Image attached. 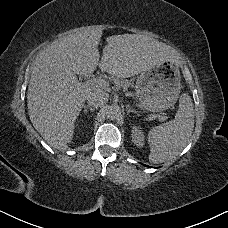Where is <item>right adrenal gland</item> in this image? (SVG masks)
Wrapping results in <instances>:
<instances>
[{
  "label": "right adrenal gland",
  "mask_w": 228,
  "mask_h": 228,
  "mask_svg": "<svg viewBox=\"0 0 228 228\" xmlns=\"http://www.w3.org/2000/svg\"><path fill=\"white\" fill-rule=\"evenodd\" d=\"M95 110H97V108H92V107H86V109H85V111H84V113H83V115L85 116V115H87L88 114V112L90 111L91 112V115H92V117H93V115H94V111Z\"/></svg>",
  "instance_id": "2a0ac1e0"
}]
</instances>
